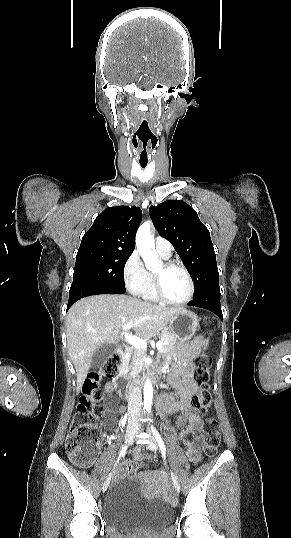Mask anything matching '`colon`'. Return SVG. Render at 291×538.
<instances>
[{
  "mask_svg": "<svg viewBox=\"0 0 291 538\" xmlns=\"http://www.w3.org/2000/svg\"><path fill=\"white\" fill-rule=\"evenodd\" d=\"M214 326L211 317H204L199 328L204 338L209 337ZM121 356L118 352L111 354L104 362L100 370L91 372L84 382L82 395L78 404V412L71 424L67 440L66 450L71 460L80 466L91 465L96 458L101 437L100 417L105 409L99 404L103 397L101 382L104 377H112L119 371ZM194 381L199 386L198 393L193 397V405L203 414L207 413L212 404L209 389V369L211 360L205 354L197 355L194 360ZM219 424L215 417L208 416L204 424V447L207 457H213L220 446ZM137 466L129 467V474H134Z\"/></svg>",
  "mask_w": 291,
  "mask_h": 538,
  "instance_id": "5ec220e1",
  "label": "colon"
}]
</instances>
